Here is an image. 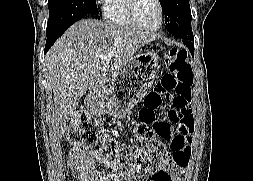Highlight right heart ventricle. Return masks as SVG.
Here are the masks:
<instances>
[{"label": "right heart ventricle", "mask_w": 253, "mask_h": 181, "mask_svg": "<svg viewBox=\"0 0 253 181\" xmlns=\"http://www.w3.org/2000/svg\"><path fill=\"white\" fill-rule=\"evenodd\" d=\"M104 20L120 28H135L127 12V0H102Z\"/></svg>", "instance_id": "right-heart-ventricle-1"}]
</instances>
